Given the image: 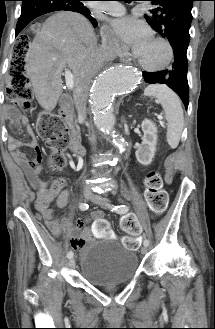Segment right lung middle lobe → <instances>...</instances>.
I'll return each instance as SVG.
<instances>
[{
  "label": "right lung middle lobe",
  "instance_id": "dd1d6c3e",
  "mask_svg": "<svg viewBox=\"0 0 215 329\" xmlns=\"http://www.w3.org/2000/svg\"><path fill=\"white\" fill-rule=\"evenodd\" d=\"M72 1L77 2V4L80 5V6H84L82 2L80 3V1H83V0H72Z\"/></svg>",
  "mask_w": 215,
  "mask_h": 329
}]
</instances>
